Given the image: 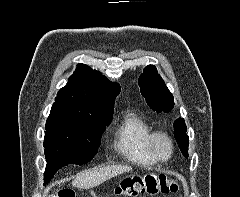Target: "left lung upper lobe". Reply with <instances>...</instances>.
<instances>
[{"label":"left lung upper lobe","mask_w":240,"mask_h":197,"mask_svg":"<svg viewBox=\"0 0 240 197\" xmlns=\"http://www.w3.org/2000/svg\"><path fill=\"white\" fill-rule=\"evenodd\" d=\"M138 84L141 94L146 99L147 104L157 112H169L174 107V98L168 90L164 81L153 65L144 68L140 75ZM174 136L179 144V148L185 157H188L189 138L186 134V125L183 118H178L174 122Z\"/></svg>","instance_id":"obj_1"}]
</instances>
